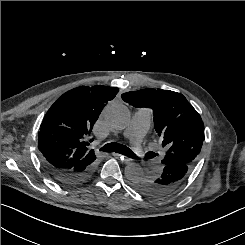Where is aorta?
Segmentation results:
<instances>
[{
    "label": "aorta",
    "instance_id": "1",
    "mask_svg": "<svg viewBox=\"0 0 245 245\" xmlns=\"http://www.w3.org/2000/svg\"><path fill=\"white\" fill-rule=\"evenodd\" d=\"M105 122L115 130H123L130 121V112L123 104H111L104 110ZM144 175L143 168L136 163H130L125 167V176L134 182Z\"/></svg>",
    "mask_w": 245,
    "mask_h": 245
}]
</instances>
